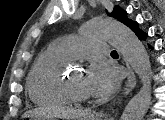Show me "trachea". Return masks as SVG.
I'll return each mask as SVG.
<instances>
[{
    "label": "trachea",
    "instance_id": "1",
    "mask_svg": "<svg viewBox=\"0 0 165 120\" xmlns=\"http://www.w3.org/2000/svg\"><path fill=\"white\" fill-rule=\"evenodd\" d=\"M111 55H118V53H117V51L113 50V51L111 52Z\"/></svg>",
    "mask_w": 165,
    "mask_h": 120
}]
</instances>
